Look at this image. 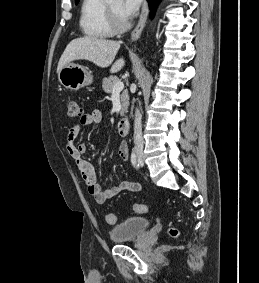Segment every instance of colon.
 <instances>
[{"mask_svg": "<svg viewBox=\"0 0 259 283\" xmlns=\"http://www.w3.org/2000/svg\"><path fill=\"white\" fill-rule=\"evenodd\" d=\"M67 109L69 116L72 118H79L82 116V108L80 104L75 100L67 101ZM132 211L137 214H143L147 212V207L142 203H135L132 206ZM105 218L106 222L110 225L116 223V217L113 213H107ZM169 234L171 237H176L178 235V230L176 228H171L169 230Z\"/></svg>", "mask_w": 259, "mask_h": 283, "instance_id": "5ec220e1", "label": "colon"}]
</instances>
